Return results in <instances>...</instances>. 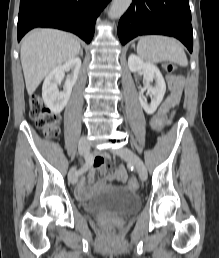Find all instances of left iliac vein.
Wrapping results in <instances>:
<instances>
[{
	"mask_svg": "<svg viewBox=\"0 0 219 258\" xmlns=\"http://www.w3.org/2000/svg\"><path fill=\"white\" fill-rule=\"evenodd\" d=\"M114 153L130 161L135 166L140 179L146 180L147 178L146 166L142 161V159L137 154H135L131 149L127 147H121L115 150Z\"/></svg>",
	"mask_w": 219,
	"mask_h": 258,
	"instance_id": "obj_1",
	"label": "left iliac vein"
}]
</instances>
